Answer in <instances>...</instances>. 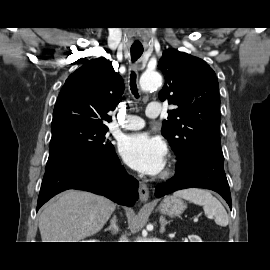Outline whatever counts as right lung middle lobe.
Listing matches in <instances>:
<instances>
[{
  "mask_svg": "<svg viewBox=\"0 0 270 270\" xmlns=\"http://www.w3.org/2000/svg\"><path fill=\"white\" fill-rule=\"evenodd\" d=\"M51 132L50 153L65 148L95 149L103 154L114 152L107 138V126L68 122L53 126Z\"/></svg>",
  "mask_w": 270,
  "mask_h": 270,
  "instance_id": "dd1d6c3e",
  "label": "right lung middle lobe"
}]
</instances>
